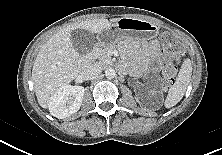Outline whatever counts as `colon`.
Listing matches in <instances>:
<instances>
[{"mask_svg": "<svg viewBox=\"0 0 222 155\" xmlns=\"http://www.w3.org/2000/svg\"><path fill=\"white\" fill-rule=\"evenodd\" d=\"M162 53L168 61L164 67L163 75L166 83L172 85L175 82L176 67L170 61L177 58L180 54L179 44L174 36L164 33L161 37Z\"/></svg>", "mask_w": 222, "mask_h": 155, "instance_id": "obj_1", "label": "colon"}]
</instances>
